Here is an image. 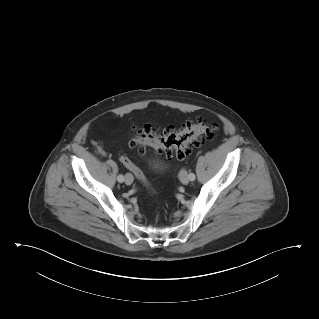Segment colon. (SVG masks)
Segmentation results:
<instances>
[{
	"mask_svg": "<svg viewBox=\"0 0 319 319\" xmlns=\"http://www.w3.org/2000/svg\"><path fill=\"white\" fill-rule=\"evenodd\" d=\"M214 134L215 126L202 119L187 121L179 128L168 127L162 130L145 125L136 130L132 145L140 151H144L145 147H151L161 158L184 159L191 148L213 139ZM120 162L140 183L148 186L144 173L128 157L121 156Z\"/></svg>",
	"mask_w": 319,
	"mask_h": 319,
	"instance_id": "1",
	"label": "colon"
}]
</instances>
